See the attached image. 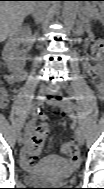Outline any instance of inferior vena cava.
<instances>
[{
    "instance_id": "inferior-vena-cava-1",
    "label": "inferior vena cava",
    "mask_w": 104,
    "mask_h": 189,
    "mask_svg": "<svg viewBox=\"0 0 104 189\" xmlns=\"http://www.w3.org/2000/svg\"><path fill=\"white\" fill-rule=\"evenodd\" d=\"M38 3L34 9L32 10V15L35 19V22L41 23L46 15V8H47V2L45 1H38ZM41 80H47V77H41ZM41 88H48V82H43V85L40 86Z\"/></svg>"
}]
</instances>
